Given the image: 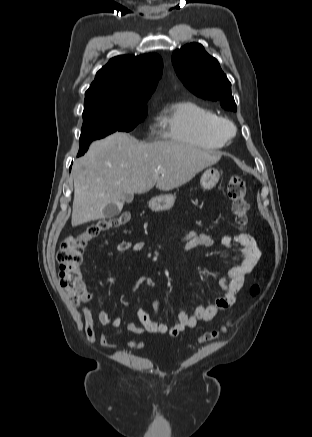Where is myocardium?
Here are the masks:
<instances>
[{
  "instance_id": "myocardium-1",
  "label": "myocardium",
  "mask_w": 312,
  "mask_h": 437,
  "mask_svg": "<svg viewBox=\"0 0 312 437\" xmlns=\"http://www.w3.org/2000/svg\"><path fill=\"white\" fill-rule=\"evenodd\" d=\"M213 127L216 132L225 138H231L236 133V126L233 121L224 116H218L214 121Z\"/></svg>"
}]
</instances>
